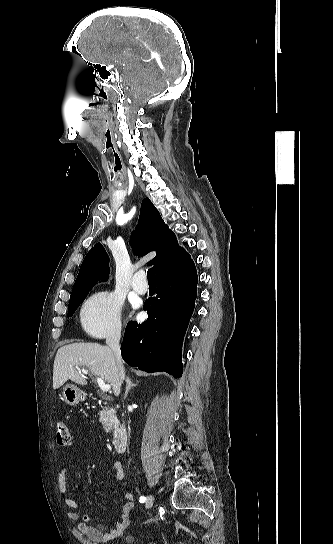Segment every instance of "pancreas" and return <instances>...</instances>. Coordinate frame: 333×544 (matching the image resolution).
Returning a JSON list of instances; mask_svg holds the SVG:
<instances>
[{
    "instance_id": "1",
    "label": "pancreas",
    "mask_w": 333,
    "mask_h": 544,
    "mask_svg": "<svg viewBox=\"0 0 333 544\" xmlns=\"http://www.w3.org/2000/svg\"><path fill=\"white\" fill-rule=\"evenodd\" d=\"M115 416V410L107 409L101 411L100 422L102 423L106 432H110L114 426L113 418Z\"/></svg>"
}]
</instances>
